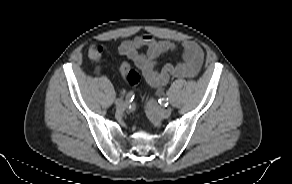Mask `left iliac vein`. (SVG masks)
<instances>
[{
  "label": "left iliac vein",
  "instance_id": "obj_1",
  "mask_svg": "<svg viewBox=\"0 0 292 184\" xmlns=\"http://www.w3.org/2000/svg\"><path fill=\"white\" fill-rule=\"evenodd\" d=\"M146 110L150 115L158 119H166L171 115L170 108H160L153 99L146 103Z\"/></svg>",
  "mask_w": 292,
  "mask_h": 184
}]
</instances>
